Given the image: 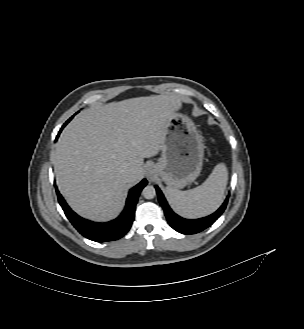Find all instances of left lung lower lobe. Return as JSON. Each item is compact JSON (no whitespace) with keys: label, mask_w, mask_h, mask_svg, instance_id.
Instances as JSON below:
<instances>
[{"label":"left lung lower lobe","mask_w":304,"mask_h":329,"mask_svg":"<svg viewBox=\"0 0 304 329\" xmlns=\"http://www.w3.org/2000/svg\"><path fill=\"white\" fill-rule=\"evenodd\" d=\"M155 188L157 191L158 200L164 210L168 223L174 230L182 234H195L211 226L224 212L228 202L227 197L222 206L213 214L204 218L189 220L175 214L169 207L164 195L158 186H155Z\"/></svg>","instance_id":"obj_1"}]
</instances>
